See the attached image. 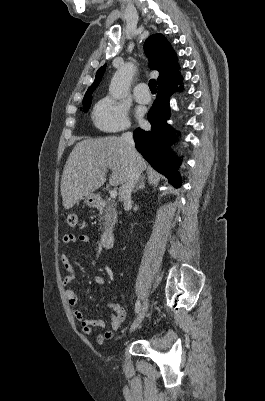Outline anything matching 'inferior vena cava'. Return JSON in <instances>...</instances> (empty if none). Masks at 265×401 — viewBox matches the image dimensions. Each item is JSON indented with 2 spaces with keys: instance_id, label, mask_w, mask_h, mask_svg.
Here are the masks:
<instances>
[{
  "instance_id": "inferior-vena-cava-1",
  "label": "inferior vena cava",
  "mask_w": 265,
  "mask_h": 401,
  "mask_svg": "<svg viewBox=\"0 0 265 401\" xmlns=\"http://www.w3.org/2000/svg\"><path fill=\"white\" fill-rule=\"evenodd\" d=\"M125 128H128V126H125ZM121 138H123L133 160V168H131L129 180H127L126 184L123 186L124 207H130V205H132L131 192L140 178L141 170H139L137 166L138 152L135 150L132 132H123Z\"/></svg>"
}]
</instances>
